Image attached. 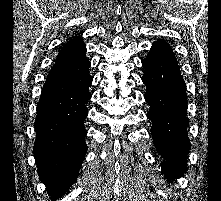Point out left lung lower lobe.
Masks as SVG:
<instances>
[{"label": "left lung lower lobe", "mask_w": 221, "mask_h": 201, "mask_svg": "<svg viewBox=\"0 0 221 201\" xmlns=\"http://www.w3.org/2000/svg\"><path fill=\"white\" fill-rule=\"evenodd\" d=\"M142 81L150 105L147 117L152 122L151 135L159 154L166 160L163 173L177 178L187 169L190 140L187 135V95L178 63L148 54L142 61Z\"/></svg>", "instance_id": "obj_1"}]
</instances>
